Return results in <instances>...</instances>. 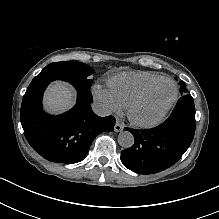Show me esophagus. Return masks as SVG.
<instances>
[{
  "instance_id": "obj_1",
  "label": "esophagus",
  "mask_w": 219,
  "mask_h": 219,
  "mask_svg": "<svg viewBox=\"0 0 219 219\" xmlns=\"http://www.w3.org/2000/svg\"><path fill=\"white\" fill-rule=\"evenodd\" d=\"M123 129H124V125L120 121H117L114 126V131L121 132Z\"/></svg>"
}]
</instances>
